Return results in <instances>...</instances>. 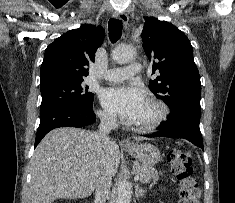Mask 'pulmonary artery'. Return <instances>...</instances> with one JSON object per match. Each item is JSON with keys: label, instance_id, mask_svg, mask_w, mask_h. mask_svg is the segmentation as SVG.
I'll list each match as a JSON object with an SVG mask.
<instances>
[{"label": "pulmonary artery", "instance_id": "e3ab8cb5", "mask_svg": "<svg viewBox=\"0 0 235 203\" xmlns=\"http://www.w3.org/2000/svg\"><path fill=\"white\" fill-rule=\"evenodd\" d=\"M141 65L139 63H130L127 67L108 69L103 74V79L111 82L123 81L140 73Z\"/></svg>", "mask_w": 235, "mask_h": 203}]
</instances>
